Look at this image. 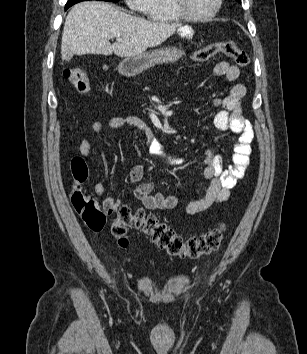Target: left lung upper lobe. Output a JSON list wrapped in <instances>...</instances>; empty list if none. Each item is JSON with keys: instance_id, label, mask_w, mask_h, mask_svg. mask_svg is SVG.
Wrapping results in <instances>:
<instances>
[{"instance_id": "obj_1", "label": "left lung upper lobe", "mask_w": 307, "mask_h": 354, "mask_svg": "<svg viewBox=\"0 0 307 354\" xmlns=\"http://www.w3.org/2000/svg\"><path fill=\"white\" fill-rule=\"evenodd\" d=\"M237 2L241 3V0H236Z\"/></svg>"}]
</instances>
